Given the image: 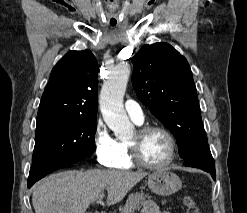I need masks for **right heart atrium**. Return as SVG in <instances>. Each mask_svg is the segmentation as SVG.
I'll return each instance as SVG.
<instances>
[{
  "mask_svg": "<svg viewBox=\"0 0 247 213\" xmlns=\"http://www.w3.org/2000/svg\"><path fill=\"white\" fill-rule=\"evenodd\" d=\"M92 141L98 163L104 167H114L119 158L120 149L118 141L112 136L104 122H97Z\"/></svg>",
  "mask_w": 247,
  "mask_h": 213,
  "instance_id": "d8ad5b80",
  "label": "right heart atrium"
}]
</instances>
